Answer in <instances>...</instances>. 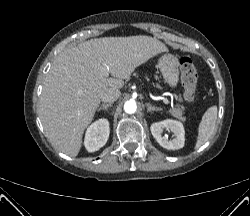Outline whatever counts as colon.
Returning <instances> with one entry per match:
<instances>
[{
    "mask_svg": "<svg viewBox=\"0 0 250 216\" xmlns=\"http://www.w3.org/2000/svg\"><path fill=\"white\" fill-rule=\"evenodd\" d=\"M180 79L184 89V98L192 103L197 93L198 75L194 63L189 57L180 59Z\"/></svg>",
    "mask_w": 250,
    "mask_h": 216,
    "instance_id": "obj_1",
    "label": "colon"
}]
</instances>
